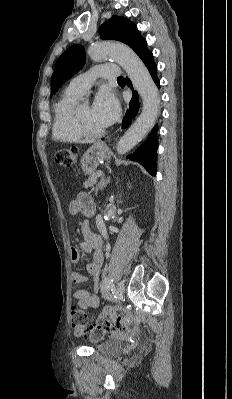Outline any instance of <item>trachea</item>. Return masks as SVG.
Masks as SVG:
<instances>
[{
	"instance_id": "1",
	"label": "trachea",
	"mask_w": 232,
	"mask_h": 399,
	"mask_svg": "<svg viewBox=\"0 0 232 399\" xmlns=\"http://www.w3.org/2000/svg\"><path fill=\"white\" fill-rule=\"evenodd\" d=\"M117 80H125L124 77H118Z\"/></svg>"
}]
</instances>
